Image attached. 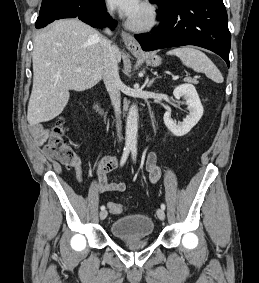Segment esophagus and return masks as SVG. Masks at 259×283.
<instances>
[{"instance_id": "34e87169", "label": "esophagus", "mask_w": 259, "mask_h": 283, "mask_svg": "<svg viewBox=\"0 0 259 283\" xmlns=\"http://www.w3.org/2000/svg\"><path fill=\"white\" fill-rule=\"evenodd\" d=\"M123 41L127 47V49L132 53V54H140L141 53V46L139 42L134 38L129 33H126L122 31L121 33Z\"/></svg>"}]
</instances>
